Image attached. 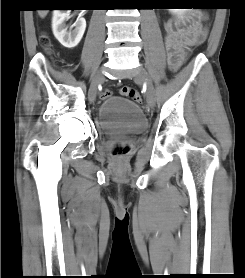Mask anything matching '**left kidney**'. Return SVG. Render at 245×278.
<instances>
[{"label":"left kidney","mask_w":245,"mask_h":278,"mask_svg":"<svg viewBox=\"0 0 245 278\" xmlns=\"http://www.w3.org/2000/svg\"><path fill=\"white\" fill-rule=\"evenodd\" d=\"M172 14L183 15L188 9H169Z\"/></svg>","instance_id":"5707ae66"}]
</instances>
